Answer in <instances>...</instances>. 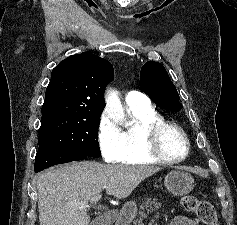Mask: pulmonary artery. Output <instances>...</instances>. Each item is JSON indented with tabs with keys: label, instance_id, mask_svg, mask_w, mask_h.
Listing matches in <instances>:
<instances>
[{
	"label": "pulmonary artery",
	"instance_id": "1",
	"mask_svg": "<svg viewBox=\"0 0 237 225\" xmlns=\"http://www.w3.org/2000/svg\"><path fill=\"white\" fill-rule=\"evenodd\" d=\"M126 104L131 106L149 104V99L143 93L138 91H129L125 97Z\"/></svg>",
	"mask_w": 237,
	"mask_h": 225
}]
</instances>
